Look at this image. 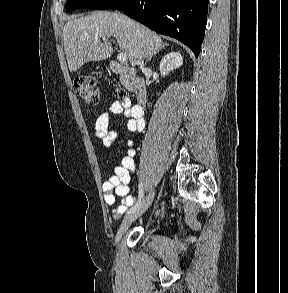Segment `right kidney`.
<instances>
[{"label":"right kidney","instance_id":"right-kidney-1","mask_svg":"<svg viewBox=\"0 0 288 293\" xmlns=\"http://www.w3.org/2000/svg\"><path fill=\"white\" fill-rule=\"evenodd\" d=\"M183 64V58L178 52H171L165 55L160 62V73L164 77L170 71L179 68Z\"/></svg>","mask_w":288,"mask_h":293}]
</instances>
